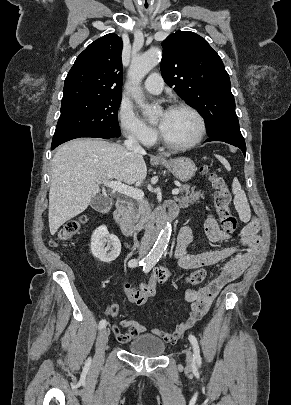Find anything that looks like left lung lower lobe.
<instances>
[{
    "label": "left lung lower lobe",
    "instance_id": "obj_1",
    "mask_svg": "<svg viewBox=\"0 0 291 405\" xmlns=\"http://www.w3.org/2000/svg\"><path fill=\"white\" fill-rule=\"evenodd\" d=\"M209 141H223L226 143H229L233 146L239 147L243 154H246V146H245V141L241 133L238 132H221L217 133L207 139V142Z\"/></svg>",
    "mask_w": 291,
    "mask_h": 405
}]
</instances>
